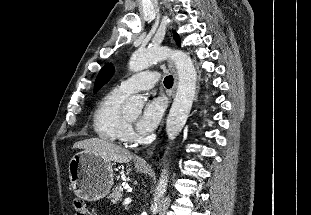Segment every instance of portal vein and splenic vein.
Here are the masks:
<instances>
[{"instance_id":"portal-vein-and-splenic-vein-1","label":"portal vein and splenic vein","mask_w":311,"mask_h":215,"mask_svg":"<svg viewBox=\"0 0 311 215\" xmlns=\"http://www.w3.org/2000/svg\"><path fill=\"white\" fill-rule=\"evenodd\" d=\"M132 202L131 198H126L123 202L124 205H128Z\"/></svg>"}]
</instances>
